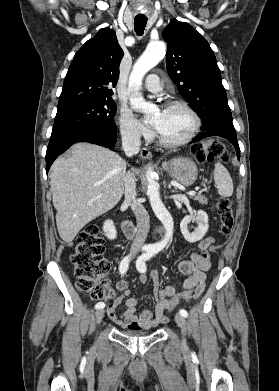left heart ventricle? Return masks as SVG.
Returning a JSON list of instances; mask_svg holds the SVG:
<instances>
[{
    "mask_svg": "<svg viewBox=\"0 0 279 391\" xmlns=\"http://www.w3.org/2000/svg\"><path fill=\"white\" fill-rule=\"evenodd\" d=\"M152 123L165 139L177 141L190 132L193 119L185 109L173 107L156 112Z\"/></svg>",
    "mask_w": 279,
    "mask_h": 391,
    "instance_id": "left-heart-ventricle-1",
    "label": "left heart ventricle"
}]
</instances>
